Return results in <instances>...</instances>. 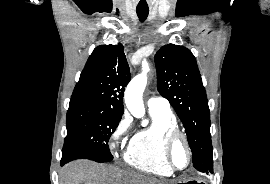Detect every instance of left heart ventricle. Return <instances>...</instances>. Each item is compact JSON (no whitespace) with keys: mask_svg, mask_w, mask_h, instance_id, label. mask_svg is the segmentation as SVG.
Segmentation results:
<instances>
[{"mask_svg":"<svg viewBox=\"0 0 270 184\" xmlns=\"http://www.w3.org/2000/svg\"><path fill=\"white\" fill-rule=\"evenodd\" d=\"M171 159L178 168H183L188 162V154L182 140H177L173 146Z\"/></svg>","mask_w":270,"mask_h":184,"instance_id":"obj_1","label":"left heart ventricle"}]
</instances>
